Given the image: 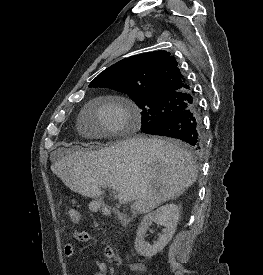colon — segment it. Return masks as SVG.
Masks as SVG:
<instances>
[{"label": "colon", "mask_w": 263, "mask_h": 275, "mask_svg": "<svg viewBox=\"0 0 263 275\" xmlns=\"http://www.w3.org/2000/svg\"><path fill=\"white\" fill-rule=\"evenodd\" d=\"M67 216L68 219L73 222V223H77L79 222L81 216L78 210L74 209V208H68L67 209Z\"/></svg>", "instance_id": "obj_1"}]
</instances>
